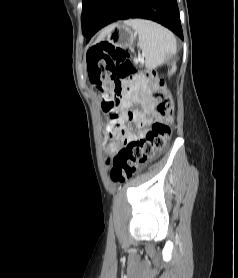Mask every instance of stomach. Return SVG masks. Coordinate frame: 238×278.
I'll list each match as a JSON object with an SVG mask.
<instances>
[{"mask_svg":"<svg viewBox=\"0 0 238 278\" xmlns=\"http://www.w3.org/2000/svg\"><path fill=\"white\" fill-rule=\"evenodd\" d=\"M107 41L116 47H131L134 43L136 32L125 23H116L105 29Z\"/></svg>","mask_w":238,"mask_h":278,"instance_id":"stomach-1","label":"stomach"}]
</instances>
